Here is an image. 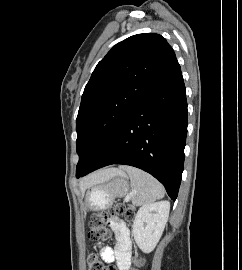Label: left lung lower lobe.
<instances>
[{"instance_id":"obj_1","label":"left lung lower lobe","mask_w":242,"mask_h":270,"mask_svg":"<svg viewBox=\"0 0 242 270\" xmlns=\"http://www.w3.org/2000/svg\"><path fill=\"white\" fill-rule=\"evenodd\" d=\"M187 124L185 85L176 60L77 178L111 164L131 165L158 179L175 201L183 172Z\"/></svg>"}]
</instances>
